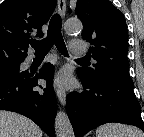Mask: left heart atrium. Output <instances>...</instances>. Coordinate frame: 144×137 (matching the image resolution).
Returning a JSON list of instances; mask_svg holds the SVG:
<instances>
[{
	"label": "left heart atrium",
	"mask_w": 144,
	"mask_h": 137,
	"mask_svg": "<svg viewBox=\"0 0 144 137\" xmlns=\"http://www.w3.org/2000/svg\"><path fill=\"white\" fill-rule=\"evenodd\" d=\"M69 81H70V75L66 71H61L56 77V83L59 86L65 87L69 84Z\"/></svg>",
	"instance_id": "39dd6f15"
}]
</instances>
